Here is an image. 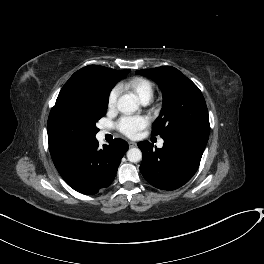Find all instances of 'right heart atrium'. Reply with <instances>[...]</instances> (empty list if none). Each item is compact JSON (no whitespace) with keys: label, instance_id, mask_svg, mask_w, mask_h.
Instances as JSON below:
<instances>
[{"label":"right heart atrium","instance_id":"obj_1","mask_svg":"<svg viewBox=\"0 0 264 264\" xmlns=\"http://www.w3.org/2000/svg\"><path fill=\"white\" fill-rule=\"evenodd\" d=\"M120 91L118 88H114L108 96V101H107V105H108V109L109 110H114L116 108L117 105V100L119 97Z\"/></svg>","mask_w":264,"mask_h":264}]
</instances>
